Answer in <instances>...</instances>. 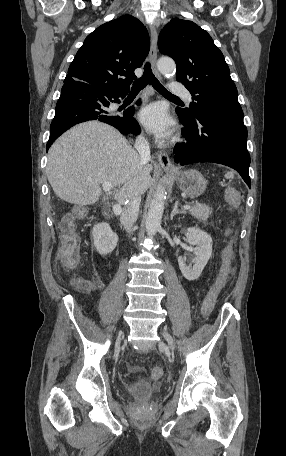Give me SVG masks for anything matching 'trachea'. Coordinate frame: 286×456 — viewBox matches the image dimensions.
I'll return each instance as SVG.
<instances>
[{"label":"trachea","instance_id":"obj_1","mask_svg":"<svg viewBox=\"0 0 286 456\" xmlns=\"http://www.w3.org/2000/svg\"><path fill=\"white\" fill-rule=\"evenodd\" d=\"M151 83L153 88L158 91L160 94H162L163 96H167V97H171V98H177L179 99L177 96L173 95L172 93H170L159 81L158 79L154 76V74L152 73V70H151V66H150V63L147 62L144 66V74L143 76L136 80L134 83H133V86H132V89H131V92H140L142 89H144L146 87V85L148 83Z\"/></svg>","mask_w":286,"mask_h":456}]
</instances>
